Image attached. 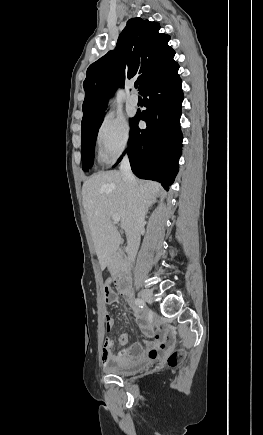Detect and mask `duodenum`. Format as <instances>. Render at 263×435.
I'll list each match as a JSON object with an SVG mask.
<instances>
[{
  "instance_id": "410a0bca",
  "label": "duodenum",
  "mask_w": 263,
  "mask_h": 435,
  "mask_svg": "<svg viewBox=\"0 0 263 435\" xmlns=\"http://www.w3.org/2000/svg\"><path fill=\"white\" fill-rule=\"evenodd\" d=\"M116 284L118 289L128 295L130 293L129 291V272H128V267L126 264V257L125 255H121V261L120 264L118 266V269L116 271Z\"/></svg>"
}]
</instances>
